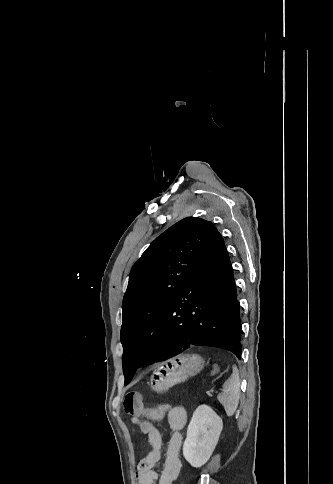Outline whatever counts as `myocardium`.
Segmentation results:
<instances>
[{
    "instance_id": "1",
    "label": "myocardium",
    "mask_w": 333,
    "mask_h": 484,
    "mask_svg": "<svg viewBox=\"0 0 333 484\" xmlns=\"http://www.w3.org/2000/svg\"><path fill=\"white\" fill-rule=\"evenodd\" d=\"M162 337H163V331L162 330L158 329V330L154 331V333L151 335L150 340H149L150 346L152 348H156L159 345V343L161 342Z\"/></svg>"
}]
</instances>
